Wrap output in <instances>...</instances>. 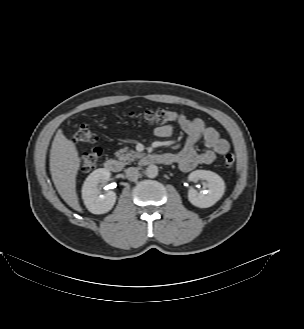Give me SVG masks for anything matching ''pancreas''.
<instances>
[{"label": "pancreas", "mask_w": 304, "mask_h": 329, "mask_svg": "<svg viewBox=\"0 0 304 329\" xmlns=\"http://www.w3.org/2000/svg\"><path fill=\"white\" fill-rule=\"evenodd\" d=\"M116 157L123 162V164H129L135 159L141 158L142 154L134 150L128 151L127 148L120 149L115 153Z\"/></svg>", "instance_id": "cf45deb5"}]
</instances>
